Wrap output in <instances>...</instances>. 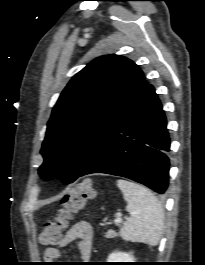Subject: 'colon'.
<instances>
[{
    "mask_svg": "<svg viewBox=\"0 0 205 265\" xmlns=\"http://www.w3.org/2000/svg\"><path fill=\"white\" fill-rule=\"evenodd\" d=\"M93 197L94 189L89 180L74 186L63 198L56 218L41 227L38 235L39 243L46 246L58 244L73 215L81 210L86 202Z\"/></svg>",
    "mask_w": 205,
    "mask_h": 265,
    "instance_id": "colon-1",
    "label": "colon"
}]
</instances>
